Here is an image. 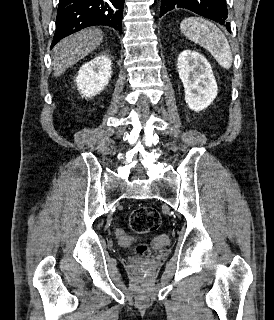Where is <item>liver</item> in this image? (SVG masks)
<instances>
[{
    "label": "liver",
    "instance_id": "obj_1",
    "mask_svg": "<svg viewBox=\"0 0 274 320\" xmlns=\"http://www.w3.org/2000/svg\"><path fill=\"white\" fill-rule=\"evenodd\" d=\"M103 40V32L99 28H87L77 34H72L58 42L53 48L52 64L54 76L58 78L88 54L97 50Z\"/></svg>",
    "mask_w": 274,
    "mask_h": 320
}]
</instances>
